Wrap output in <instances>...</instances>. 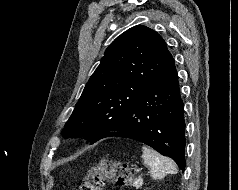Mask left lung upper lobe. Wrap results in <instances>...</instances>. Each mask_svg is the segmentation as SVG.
<instances>
[{"mask_svg": "<svg viewBox=\"0 0 238 190\" xmlns=\"http://www.w3.org/2000/svg\"><path fill=\"white\" fill-rule=\"evenodd\" d=\"M172 60L154 30L137 25L122 33L106 49L62 134L87 135L90 144L100 140Z\"/></svg>", "mask_w": 238, "mask_h": 190, "instance_id": "obj_1", "label": "left lung upper lobe"}]
</instances>
